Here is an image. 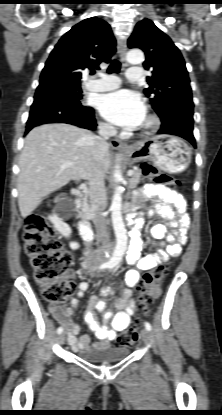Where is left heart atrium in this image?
<instances>
[{
	"mask_svg": "<svg viewBox=\"0 0 222 415\" xmlns=\"http://www.w3.org/2000/svg\"><path fill=\"white\" fill-rule=\"evenodd\" d=\"M99 111L106 120L124 128L141 125L145 117V105L141 96L127 89L102 96Z\"/></svg>",
	"mask_w": 222,
	"mask_h": 415,
	"instance_id": "left-heart-atrium-1",
	"label": "left heart atrium"
}]
</instances>
